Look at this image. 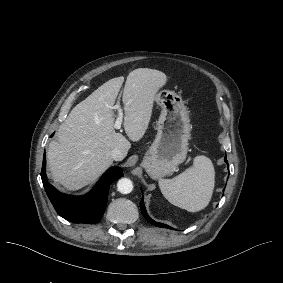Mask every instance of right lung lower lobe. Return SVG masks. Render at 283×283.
I'll use <instances>...</instances> for the list:
<instances>
[{
	"label": "right lung lower lobe",
	"mask_w": 283,
	"mask_h": 283,
	"mask_svg": "<svg viewBox=\"0 0 283 283\" xmlns=\"http://www.w3.org/2000/svg\"><path fill=\"white\" fill-rule=\"evenodd\" d=\"M54 133L52 134V136ZM46 156L44 153L41 178L46 193L56 209L64 219L73 223H97L103 217L110 184L122 176L119 167H112L101 177L91 192L85 196H69L57 191L46 177Z\"/></svg>",
	"instance_id": "right-lung-lower-lobe-1"
}]
</instances>
